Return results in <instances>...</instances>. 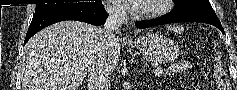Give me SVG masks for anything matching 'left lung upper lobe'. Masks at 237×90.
<instances>
[{
  "mask_svg": "<svg viewBox=\"0 0 237 90\" xmlns=\"http://www.w3.org/2000/svg\"><path fill=\"white\" fill-rule=\"evenodd\" d=\"M176 8L172 12H184L218 19L208 0H174Z\"/></svg>",
  "mask_w": 237,
  "mask_h": 90,
  "instance_id": "1",
  "label": "left lung upper lobe"
}]
</instances>
